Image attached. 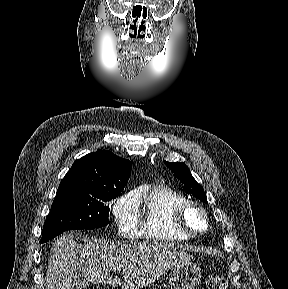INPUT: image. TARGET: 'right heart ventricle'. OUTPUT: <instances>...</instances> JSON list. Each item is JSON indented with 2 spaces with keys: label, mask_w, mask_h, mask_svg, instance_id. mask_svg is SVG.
Masks as SVG:
<instances>
[{
  "label": "right heart ventricle",
  "mask_w": 288,
  "mask_h": 289,
  "mask_svg": "<svg viewBox=\"0 0 288 289\" xmlns=\"http://www.w3.org/2000/svg\"><path fill=\"white\" fill-rule=\"evenodd\" d=\"M133 198L141 237L158 243H180L191 238L174 218L176 206L188 200L183 193L160 183L139 190Z\"/></svg>",
  "instance_id": "obj_1"
}]
</instances>
